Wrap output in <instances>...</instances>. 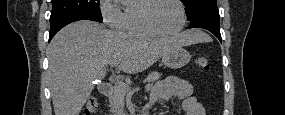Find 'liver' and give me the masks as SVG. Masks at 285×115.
<instances>
[{
	"instance_id": "obj_1",
	"label": "liver",
	"mask_w": 285,
	"mask_h": 115,
	"mask_svg": "<svg viewBox=\"0 0 285 115\" xmlns=\"http://www.w3.org/2000/svg\"><path fill=\"white\" fill-rule=\"evenodd\" d=\"M199 30H188L172 38H140L109 30L95 22L81 20L61 29L47 49L48 78L55 115H79L108 66L120 63V70L142 72L175 47L199 42Z\"/></svg>"
}]
</instances>
